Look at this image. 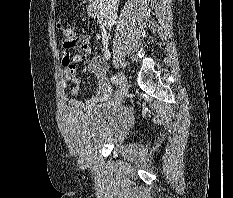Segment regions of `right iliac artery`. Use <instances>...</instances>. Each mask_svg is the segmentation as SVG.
I'll return each instance as SVG.
<instances>
[{
  "label": "right iliac artery",
  "mask_w": 233,
  "mask_h": 198,
  "mask_svg": "<svg viewBox=\"0 0 233 198\" xmlns=\"http://www.w3.org/2000/svg\"><path fill=\"white\" fill-rule=\"evenodd\" d=\"M110 80L113 84L117 85L119 83L118 78L116 76H111Z\"/></svg>",
  "instance_id": "right-iliac-artery-1"
}]
</instances>
